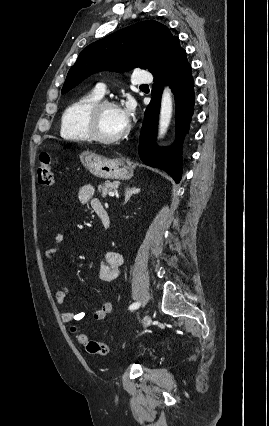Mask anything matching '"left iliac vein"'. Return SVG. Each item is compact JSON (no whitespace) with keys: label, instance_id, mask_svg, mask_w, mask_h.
I'll list each match as a JSON object with an SVG mask.
<instances>
[{"label":"left iliac vein","instance_id":"1","mask_svg":"<svg viewBox=\"0 0 269 426\" xmlns=\"http://www.w3.org/2000/svg\"><path fill=\"white\" fill-rule=\"evenodd\" d=\"M151 323V317L149 315H145L143 318V328L146 329Z\"/></svg>","mask_w":269,"mask_h":426}]
</instances>
